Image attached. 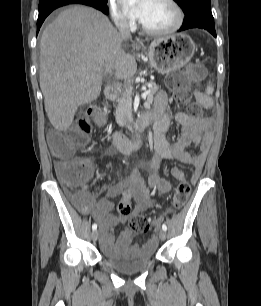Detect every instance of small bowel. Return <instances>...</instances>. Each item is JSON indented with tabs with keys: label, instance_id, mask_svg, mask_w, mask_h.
<instances>
[{
	"label": "small bowel",
	"instance_id": "c3829d8e",
	"mask_svg": "<svg viewBox=\"0 0 261 306\" xmlns=\"http://www.w3.org/2000/svg\"><path fill=\"white\" fill-rule=\"evenodd\" d=\"M197 101L205 108L212 105L211 100L202 93L196 94ZM154 118V148L155 155L147 166L149 176L147 181L142 176L139 169L130 171L128 177L118 184L106 187L102 196L96 204L91 194H84L80 203L81 209L92 215L100 224L102 231V244L109 248L112 244L110 230L119 224L128 221L131 215H136L151 208L154 203L147 185L158 190L160 193H168L173 189V184L159 176V169L164 160H176L189 164L194 172L191 180L195 182L202 173L203 166L210 151L215 132V122L211 118H199L189 113H177L168 105L166 92L161 91L155 98L154 110L151 113ZM176 122L181 127L179 140L170 145L165 137V133L172 122ZM199 147V153H192L190 148ZM67 166L66 162L58 161L56 169L60 172ZM93 164L89 161V170ZM172 175L177 179H182V172L178 168L171 170ZM133 197L135 205L130 215L114 216L111 211L114 207L113 198L118 195ZM149 242L154 243L152 237Z\"/></svg>",
	"mask_w": 261,
	"mask_h": 306
}]
</instances>
